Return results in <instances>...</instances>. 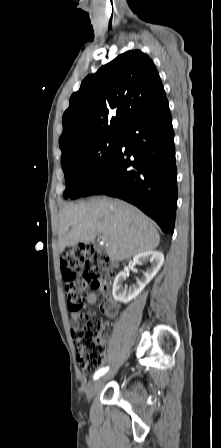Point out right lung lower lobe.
I'll return each instance as SVG.
<instances>
[{"instance_id": "1", "label": "right lung lower lobe", "mask_w": 221, "mask_h": 448, "mask_svg": "<svg viewBox=\"0 0 221 448\" xmlns=\"http://www.w3.org/2000/svg\"><path fill=\"white\" fill-rule=\"evenodd\" d=\"M176 176L172 118L165 96L122 128L112 157L82 196L106 194L126 200L154 219L163 232L173 233Z\"/></svg>"}]
</instances>
